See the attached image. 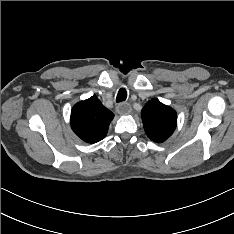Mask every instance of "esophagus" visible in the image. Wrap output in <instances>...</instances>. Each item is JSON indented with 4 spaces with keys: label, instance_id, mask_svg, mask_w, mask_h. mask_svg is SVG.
<instances>
[{
    "label": "esophagus",
    "instance_id": "34e87169",
    "mask_svg": "<svg viewBox=\"0 0 234 234\" xmlns=\"http://www.w3.org/2000/svg\"><path fill=\"white\" fill-rule=\"evenodd\" d=\"M117 112L119 114H122V115H128L131 113V105L129 103H122V104H119L117 107Z\"/></svg>",
    "mask_w": 234,
    "mask_h": 234
}]
</instances>
